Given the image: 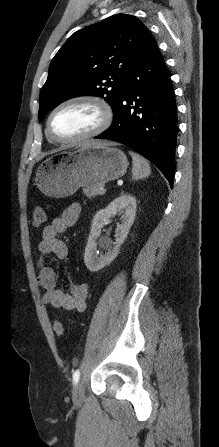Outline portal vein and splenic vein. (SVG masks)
I'll list each match as a JSON object with an SVG mask.
<instances>
[{
	"instance_id": "1",
	"label": "portal vein and splenic vein",
	"mask_w": 219,
	"mask_h": 447,
	"mask_svg": "<svg viewBox=\"0 0 219 447\" xmlns=\"http://www.w3.org/2000/svg\"><path fill=\"white\" fill-rule=\"evenodd\" d=\"M100 190H101V193H102V194H104L105 191H106L104 188H101Z\"/></svg>"
}]
</instances>
